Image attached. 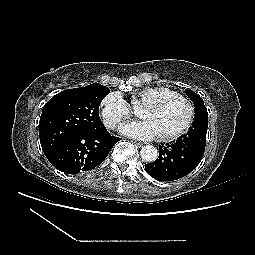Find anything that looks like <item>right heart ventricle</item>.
<instances>
[{
  "mask_svg": "<svg viewBox=\"0 0 255 255\" xmlns=\"http://www.w3.org/2000/svg\"><path fill=\"white\" fill-rule=\"evenodd\" d=\"M172 92L173 91L167 87H147L138 93V99L143 104H147L161 96L168 95Z\"/></svg>",
  "mask_w": 255,
  "mask_h": 255,
  "instance_id": "e07e8e85",
  "label": "right heart ventricle"
}]
</instances>
